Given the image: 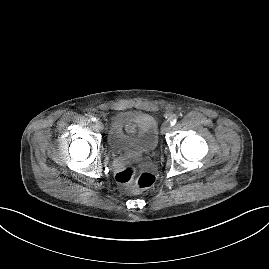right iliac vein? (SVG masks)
<instances>
[{"instance_id": "right-iliac-vein-1", "label": "right iliac vein", "mask_w": 269, "mask_h": 269, "mask_svg": "<svg viewBox=\"0 0 269 269\" xmlns=\"http://www.w3.org/2000/svg\"><path fill=\"white\" fill-rule=\"evenodd\" d=\"M96 127L100 130H102L104 128V125L101 121H96Z\"/></svg>"}]
</instances>
